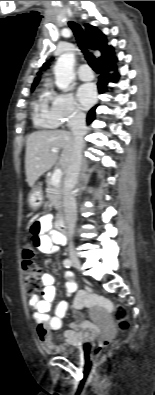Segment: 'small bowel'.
Masks as SVG:
<instances>
[{
  "instance_id": "obj_1",
  "label": "small bowel",
  "mask_w": 155,
  "mask_h": 395,
  "mask_svg": "<svg viewBox=\"0 0 155 395\" xmlns=\"http://www.w3.org/2000/svg\"><path fill=\"white\" fill-rule=\"evenodd\" d=\"M51 215H44L39 218L31 227L32 242L34 246L42 253L55 254L59 246L65 243V237L59 233L51 232ZM68 281L65 285L66 294L72 295L76 292L77 285L73 281V275H66ZM43 289L41 296L33 295L29 299V306L33 309V320L36 324V333L42 348L49 353L56 352L60 341H65L71 345H82L89 341L98 331V326L90 321L83 320L79 310L83 307H91L98 315L103 316L104 311L112 309L109 300L89 294L78 292L74 298L73 306L75 309V321L71 328L62 334L52 337V331H59L62 328V319L65 316L68 303L65 300L60 301L54 310V315L50 316L49 311L51 304L56 298V288L54 277L49 273L41 276Z\"/></svg>"
}]
</instances>
